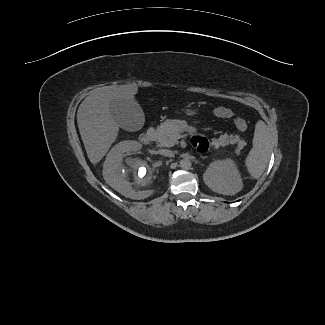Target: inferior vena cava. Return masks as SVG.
<instances>
[{
	"label": "inferior vena cava",
	"instance_id": "602c4592",
	"mask_svg": "<svg viewBox=\"0 0 325 325\" xmlns=\"http://www.w3.org/2000/svg\"><path fill=\"white\" fill-rule=\"evenodd\" d=\"M159 153H160L161 155H164V156H170V157L174 156L173 151L168 150V149H160V150H159Z\"/></svg>",
	"mask_w": 325,
	"mask_h": 325
}]
</instances>
